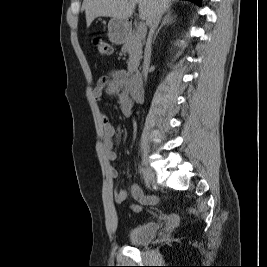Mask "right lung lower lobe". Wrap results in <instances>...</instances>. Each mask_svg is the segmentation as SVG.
Listing matches in <instances>:
<instances>
[{
  "instance_id": "1",
  "label": "right lung lower lobe",
  "mask_w": 267,
  "mask_h": 267,
  "mask_svg": "<svg viewBox=\"0 0 267 267\" xmlns=\"http://www.w3.org/2000/svg\"><path fill=\"white\" fill-rule=\"evenodd\" d=\"M189 1L201 6V0H189Z\"/></svg>"
}]
</instances>
